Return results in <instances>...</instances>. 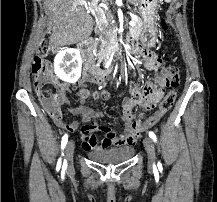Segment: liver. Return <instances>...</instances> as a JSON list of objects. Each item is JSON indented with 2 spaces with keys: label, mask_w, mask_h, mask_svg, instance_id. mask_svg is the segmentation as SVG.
I'll use <instances>...</instances> for the list:
<instances>
[{
  "label": "liver",
  "mask_w": 217,
  "mask_h": 202,
  "mask_svg": "<svg viewBox=\"0 0 217 202\" xmlns=\"http://www.w3.org/2000/svg\"><path fill=\"white\" fill-rule=\"evenodd\" d=\"M90 0H44L47 14L53 20L51 44L71 46L88 40L93 32L94 22L88 14ZM137 4L140 0H129Z\"/></svg>",
  "instance_id": "6515ba94"
}]
</instances>
